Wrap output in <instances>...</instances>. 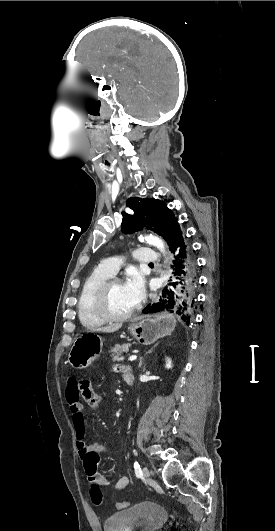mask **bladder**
<instances>
[{"label": "bladder", "mask_w": 275, "mask_h": 531, "mask_svg": "<svg viewBox=\"0 0 275 531\" xmlns=\"http://www.w3.org/2000/svg\"><path fill=\"white\" fill-rule=\"evenodd\" d=\"M168 510L160 503L141 501L103 520L104 531H158L167 523Z\"/></svg>", "instance_id": "obj_1"}]
</instances>
